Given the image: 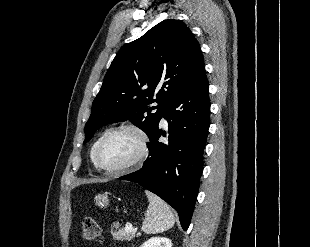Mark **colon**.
I'll list each match as a JSON object with an SVG mask.
<instances>
[{
  "instance_id": "5ec220e1",
  "label": "colon",
  "mask_w": 310,
  "mask_h": 247,
  "mask_svg": "<svg viewBox=\"0 0 310 247\" xmlns=\"http://www.w3.org/2000/svg\"><path fill=\"white\" fill-rule=\"evenodd\" d=\"M101 234L99 224L92 218H85L83 221L82 236L86 241H93Z\"/></svg>"
}]
</instances>
